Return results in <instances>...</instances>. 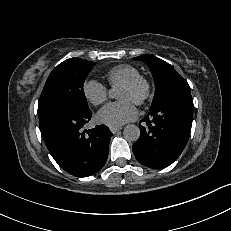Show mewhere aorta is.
<instances>
[{"label":"aorta","instance_id":"1","mask_svg":"<svg viewBox=\"0 0 231 231\" xmlns=\"http://www.w3.org/2000/svg\"><path fill=\"white\" fill-rule=\"evenodd\" d=\"M109 96L111 98L115 97V91L113 89L109 91ZM123 135L128 141H137L140 137V129L134 124H128L123 130Z\"/></svg>","mask_w":231,"mask_h":231}]
</instances>
